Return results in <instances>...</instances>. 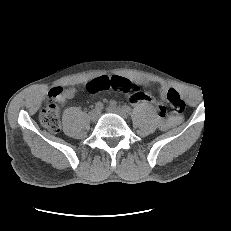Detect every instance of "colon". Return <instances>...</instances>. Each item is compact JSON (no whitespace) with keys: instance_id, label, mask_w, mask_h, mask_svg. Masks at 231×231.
Masks as SVG:
<instances>
[{"instance_id":"colon-1","label":"colon","mask_w":231,"mask_h":231,"mask_svg":"<svg viewBox=\"0 0 231 231\" xmlns=\"http://www.w3.org/2000/svg\"><path fill=\"white\" fill-rule=\"evenodd\" d=\"M86 88L90 93L113 90L116 92L132 94L136 91V87L129 80L119 76L94 79L87 84ZM60 94L61 90L59 88L52 89L49 93V102L41 110L39 115L41 124L51 132H59L61 128L59 108L56 103ZM167 110H170L177 115L182 114L185 110L184 101L179 93L173 88L166 91L165 106H160L159 108L162 118L165 117Z\"/></svg>"}]
</instances>
